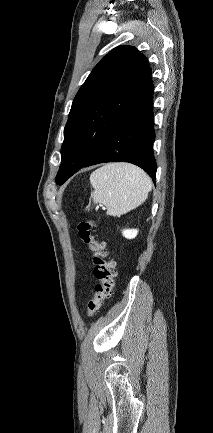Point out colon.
Returning a JSON list of instances; mask_svg holds the SVG:
<instances>
[{
    "label": "colon",
    "instance_id": "colon-1",
    "mask_svg": "<svg viewBox=\"0 0 213 433\" xmlns=\"http://www.w3.org/2000/svg\"><path fill=\"white\" fill-rule=\"evenodd\" d=\"M94 225L92 219H84L77 224L79 238L93 252L94 276L97 279L94 297L88 303V317H93L101 304L111 296L116 276L115 262L110 258L106 242L94 234Z\"/></svg>",
    "mask_w": 213,
    "mask_h": 433
}]
</instances>
